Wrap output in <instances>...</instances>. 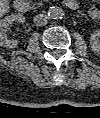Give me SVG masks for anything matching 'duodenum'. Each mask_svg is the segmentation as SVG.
Here are the masks:
<instances>
[{
	"label": "duodenum",
	"mask_w": 100,
	"mask_h": 118,
	"mask_svg": "<svg viewBox=\"0 0 100 118\" xmlns=\"http://www.w3.org/2000/svg\"><path fill=\"white\" fill-rule=\"evenodd\" d=\"M64 4L67 8L72 10H75L78 7L75 0H64ZM14 8L16 13L20 15H25L30 11V6L25 0H16Z\"/></svg>",
	"instance_id": "obj_1"
}]
</instances>
